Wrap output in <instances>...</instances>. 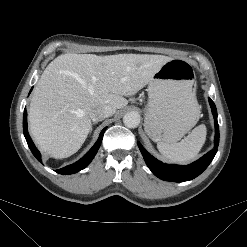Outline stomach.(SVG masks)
Listing matches in <instances>:
<instances>
[{
	"instance_id": "1",
	"label": "stomach",
	"mask_w": 247,
	"mask_h": 247,
	"mask_svg": "<svg viewBox=\"0 0 247 247\" xmlns=\"http://www.w3.org/2000/svg\"><path fill=\"white\" fill-rule=\"evenodd\" d=\"M193 76L188 62L172 59L149 81L144 129L153 141L175 143L197 123Z\"/></svg>"
}]
</instances>
